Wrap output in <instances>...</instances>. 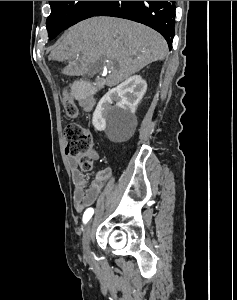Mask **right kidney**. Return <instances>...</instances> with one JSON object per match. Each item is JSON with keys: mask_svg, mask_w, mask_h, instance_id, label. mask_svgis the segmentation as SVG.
<instances>
[{"mask_svg": "<svg viewBox=\"0 0 237 300\" xmlns=\"http://www.w3.org/2000/svg\"><path fill=\"white\" fill-rule=\"evenodd\" d=\"M147 89V83L140 77V75H134L129 77L124 83L108 91L102 99H100L94 113H93V127L96 131H105L106 119H104L105 109H110L112 103L115 101L118 109L123 111H129V113H135L138 103H140L145 91Z\"/></svg>", "mask_w": 237, "mask_h": 300, "instance_id": "obj_1", "label": "right kidney"}]
</instances>
